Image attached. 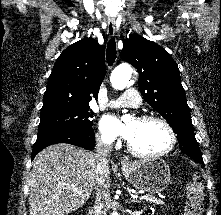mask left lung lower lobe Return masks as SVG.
<instances>
[{
    "instance_id": "0a47b994",
    "label": "left lung lower lobe",
    "mask_w": 221,
    "mask_h": 215,
    "mask_svg": "<svg viewBox=\"0 0 221 215\" xmlns=\"http://www.w3.org/2000/svg\"><path fill=\"white\" fill-rule=\"evenodd\" d=\"M187 156H189V157L195 159V160H196L197 162H199V163L204 164L202 156H190V155H187Z\"/></svg>"
}]
</instances>
